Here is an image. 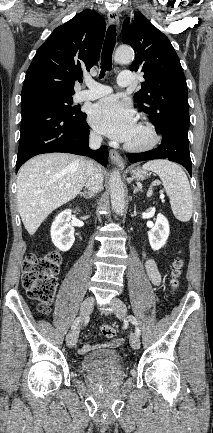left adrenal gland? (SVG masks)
I'll list each match as a JSON object with an SVG mask.
<instances>
[{"label": "left adrenal gland", "mask_w": 213, "mask_h": 433, "mask_svg": "<svg viewBox=\"0 0 213 433\" xmlns=\"http://www.w3.org/2000/svg\"><path fill=\"white\" fill-rule=\"evenodd\" d=\"M133 188H134V191H133L134 194H136L137 192L142 191L141 187H136L135 185H133Z\"/></svg>", "instance_id": "1"}]
</instances>
